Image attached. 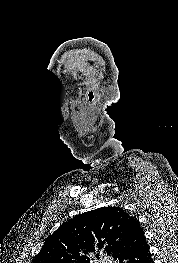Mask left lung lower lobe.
Segmentation results:
<instances>
[{
  "instance_id": "obj_1",
  "label": "left lung lower lobe",
  "mask_w": 178,
  "mask_h": 263,
  "mask_svg": "<svg viewBox=\"0 0 178 263\" xmlns=\"http://www.w3.org/2000/svg\"><path fill=\"white\" fill-rule=\"evenodd\" d=\"M113 258L120 261V263H154L144 231L135 218L126 229Z\"/></svg>"
}]
</instances>
